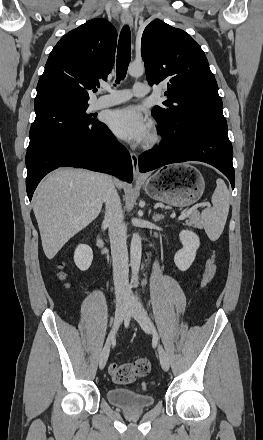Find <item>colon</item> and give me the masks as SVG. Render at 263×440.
Returning <instances> with one entry per match:
<instances>
[{
    "label": "colon",
    "instance_id": "1",
    "mask_svg": "<svg viewBox=\"0 0 263 440\" xmlns=\"http://www.w3.org/2000/svg\"><path fill=\"white\" fill-rule=\"evenodd\" d=\"M217 272V260L215 255L206 262L203 287L209 286ZM150 371V363L146 358H139L128 363H113L109 367V374L112 380L119 384H129L144 377ZM146 387V385H144Z\"/></svg>",
    "mask_w": 263,
    "mask_h": 440
}]
</instances>
